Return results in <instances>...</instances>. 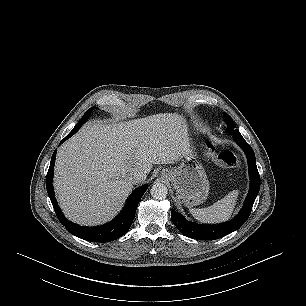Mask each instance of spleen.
<instances>
[{
	"label": "spleen",
	"mask_w": 306,
	"mask_h": 306,
	"mask_svg": "<svg viewBox=\"0 0 306 306\" xmlns=\"http://www.w3.org/2000/svg\"><path fill=\"white\" fill-rule=\"evenodd\" d=\"M238 190L229 192L224 198L213 205L201 209H189L192 216L201 223L217 224L227 221L234 210L238 197Z\"/></svg>",
	"instance_id": "1"
}]
</instances>
